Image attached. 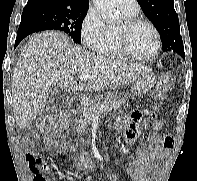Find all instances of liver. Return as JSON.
<instances>
[{"mask_svg": "<svg viewBox=\"0 0 197 181\" xmlns=\"http://www.w3.org/2000/svg\"><path fill=\"white\" fill-rule=\"evenodd\" d=\"M145 71L150 69L70 45L64 33L36 34L22 49L13 74L16 125L26 128L42 113L51 85L57 84L67 92L116 89L135 81ZM76 74L89 75L90 79L78 85Z\"/></svg>", "mask_w": 197, "mask_h": 181, "instance_id": "1", "label": "liver"}]
</instances>
